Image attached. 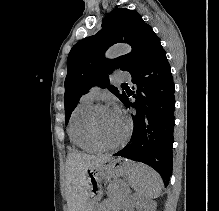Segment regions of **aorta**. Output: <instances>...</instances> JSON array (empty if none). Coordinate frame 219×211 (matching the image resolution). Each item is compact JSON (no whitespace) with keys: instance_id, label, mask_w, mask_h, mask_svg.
I'll return each instance as SVG.
<instances>
[{"instance_id":"obj_1","label":"aorta","mask_w":219,"mask_h":211,"mask_svg":"<svg viewBox=\"0 0 219 211\" xmlns=\"http://www.w3.org/2000/svg\"><path fill=\"white\" fill-rule=\"evenodd\" d=\"M130 51H131V47L128 45H124V44L116 45L107 51L106 57L107 58H115L119 55L127 54Z\"/></svg>"}]
</instances>
